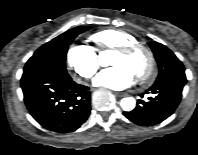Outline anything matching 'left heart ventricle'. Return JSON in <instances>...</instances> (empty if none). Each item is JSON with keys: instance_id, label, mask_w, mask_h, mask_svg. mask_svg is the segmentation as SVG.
Returning <instances> with one entry per match:
<instances>
[{"instance_id": "1", "label": "left heart ventricle", "mask_w": 198, "mask_h": 155, "mask_svg": "<svg viewBox=\"0 0 198 155\" xmlns=\"http://www.w3.org/2000/svg\"><path fill=\"white\" fill-rule=\"evenodd\" d=\"M148 64V59L143 51H135L131 54L115 52L112 65H124L128 67L135 76L143 72Z\"/></svg>"}]
</instances>
